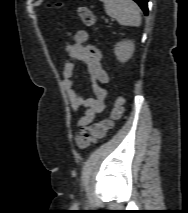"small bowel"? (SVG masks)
I'll return each mask as SVG.
<instances>
[{
	"mask_svg": "<svg viewBox=\"0 0 188 213\" xmlns=\"http://www.w3.org/2000/svg\"><path fill=\"white\" fill-rule=\"evenodd\" d=\"M88 33L84 30L77 31L73 35V42L66 44V52L70 58L62 69L63 87L70 101L71 109L76 111L84 108V115L75 123L76 127L89 125L95 118L96 114L102 113L105 108V99L107 90L105 85L109 81V76L102 66L101 50L88 43ZM83 63L87 66L92 78V91L94 97H83L74 86L73 76L76 63Z\"/></svg>",
	"mask_w": 188,
	"mask_h": 213,
	"instance_id": "c3829d8e",
	"label": "small bowel"
}]
</instances>
